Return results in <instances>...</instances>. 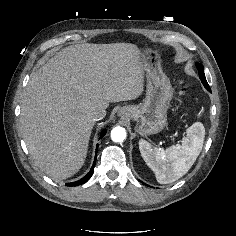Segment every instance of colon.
Returning <instances> with one entry per match:
<instances>
[{
    "label": "colon",
    "instance_id": "5ec220e1",
    "mask_svg": "<svg viewBox=\"0 0 236 236\" xmlns=\"http://www.w3.org/2000/svg\"><path fill=\"white\" fill-rule=\"evenodd\" d=\"M180 93H181L182 95H186L187 89H186L185 87H181Z\"/></svg>",
    "mask_w": 236,
    "mask_h": 236
}]
</instances>
